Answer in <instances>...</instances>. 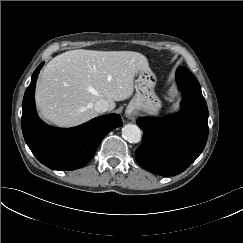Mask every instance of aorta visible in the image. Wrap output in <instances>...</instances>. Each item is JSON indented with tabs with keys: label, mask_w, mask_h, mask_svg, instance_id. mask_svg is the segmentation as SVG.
Here are the masks:
<instances>
[{
	"label": "aorta",
	"mask_w": 243,
	"mask_h": 243,
	"mask_svg": "<svg viewBox=\"0 0 243 243\" xmlns=\"http://www.w3.org/2000/svg\"><path fill=\"white\" fill-rule=\"evenodd\" d=\"M122 136L130 143H138L142 134L140 128L135 124H127L122 128Z\"/></svg>",
	"instance_id": "obj_1"
}]
</instances>
